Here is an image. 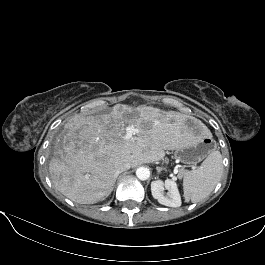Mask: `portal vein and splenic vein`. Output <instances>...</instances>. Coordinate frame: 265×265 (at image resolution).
<instances>
[{
	"mask_svg": "<svg viewBox=\"0 0 265 265\" xmlns=\"http://www.w3.org/2000/svg\"><path fill=\"white\" fill-rule=\"evenodd\" d=\"M138 132V129H136L133 126H127L126 127V135L125 138L126 139H131L133 138V136Z\"/></svg>",
	"mask_w": 265,
	"mask_h": 265,
	"instance_id": "portal-vein-and-splenic-vein-1",
	"label": "portal vein and splenic vein"
}]
</instances>
